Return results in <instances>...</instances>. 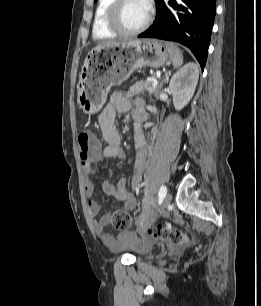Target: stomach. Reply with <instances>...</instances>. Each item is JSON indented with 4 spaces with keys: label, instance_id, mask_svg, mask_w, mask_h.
<instances>
[{
    "label": "stomach",
    "instance_id": "obj_1",
    "mask_svg": "<svg viewBox=\"0 0 261 306\" xmlns=\"http://www.w3.org/2000/svg\"><path fill=\"white\" fill-rule=\"evenodd\" d=\"M169 62L168 49L155 39H135L98 46L85 58L78 84V102L84 111L97 112L112 86L126 81L136 69L158 68Z\"/></svg>",
    "mask_w": 261,
    "mask_h": 306
}]
</instances>
